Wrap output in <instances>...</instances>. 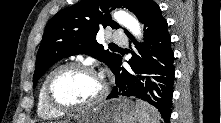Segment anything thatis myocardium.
I'll return each mask as SVG.
<instances>
[{
    "label": "myocardium",
    "mask_w": 221,
    "mask_h": 123,
    "mask_svg": "<svg viewBox=\"0 0 221 123\" xmlns=\"http://www.w3.org/2000/svg\"><path fill=\"white\" fill-rule=\"evenodd\" d=\"M68 69H80L99 76L102 81L100 94L94 100L83 104H64L57 100L53 94V82L59 73ZM44 94L48 104L57 111L63 113L85 111L99 106L106 99L108 95V85L104 77L100 75L92 65L84 62L71 61L57 66L48 74L45 81Z\"/></svg>",
    "instance_id": "1"
}]
</instances>
